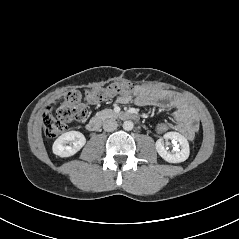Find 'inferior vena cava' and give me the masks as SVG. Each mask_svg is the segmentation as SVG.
<instances>
[{
	"label": "inferior vena cava",
	"instance_id": "inferior-vena-cava-1",
	"mask_svg": "<svg viewBox=\"0 0 239 239\" xmlns=\"http://www.w3.org/2000/svg\"><path fill=\"white\" fill-rule=\"evenodd\" d=\"M117 122L114 119H107L103 122L104 131L111 132L117 129Z\"/></svg>",
	"mask_w": 239,
	"mask_h": 239
}]
</instances>
